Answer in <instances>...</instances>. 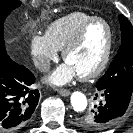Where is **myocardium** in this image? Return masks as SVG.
Segmentation results:
<instances>
[{"mask_svg":"<svg viewBox=\"0 0 133 133\" xmlns=\"http://www.w3.org/2000/svg\"><path fill=\"white\" fill-rule=\"evenodd\" d=\"M96 22H101L107 27L108 40H107L106 50L102 60L94 70L84 75H78V78L81 81H89L91 79L98 77L108 66L114 42V32L111 24L102 17H92L79 28V30L72 37V39L62 49V58L64 61H66L69 53L80 44L88 28Z\"/></svg>","mask_w":133,"mask_h":133,"instance_id":"f54148a6","label":"myocardium"}]
</instances>
